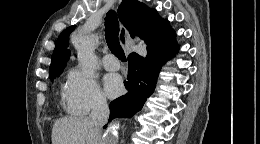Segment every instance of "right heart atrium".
I'll return each mask as SVG.
<instances>
[{"instance_id":"d8ad5b80","label":"right heart atrium","mask_w":260,"mask_h":144,"mask_svg":"<svg viewBox=\"0 0 260 144\" xmlns=\"http://www.w3.org/2000/svg\"><path fill=\"white\" fill-rule=\"evenodd\" d=\"M65 98L70 111L81 115L107 106L106 97L97 80L79 68H73L69 72Z\"/></svg>"}]
</instances>
